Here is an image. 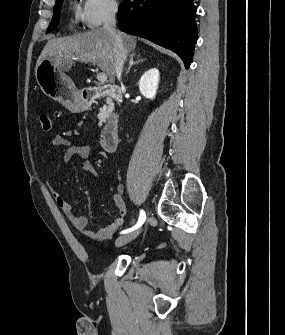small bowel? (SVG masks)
I'll return each mask as SVG.
<instances>
[{
	"instance_id": "obj_1",
	"label": "small bowel",
	"mask_w": 285,
	"mask_h": 335,
	"mask_svg": "<svg viewBox=\"0 0 285 335\" xmlns=\"http://www.w3.org/2000/svg\"><path fill=\"white\" fill-rule=\"evenodd\" d=\"M52 147H65L62 159L68 163L73 158L77 157L82 159L81 168L92 176H95V169L92 163L89 161L90 149L85 144H72L66 137L57 134L50 140ZM51 161L54 160V156L51 154ZM50 192L55 199L58 207L66 218L70 221L73 227L82 232L84 236L91 241H101L111 238L114 233L123 225L124 218L127 213V208L124 199L119 194H114V203L119 211V216L94 231L86 230L87 219L83 216L77 215L64 194L60 191L55 190L52 186H49Z\"/></svg>"
}]
</instances>
